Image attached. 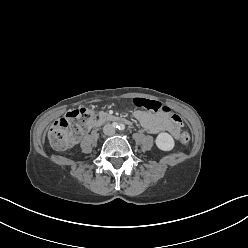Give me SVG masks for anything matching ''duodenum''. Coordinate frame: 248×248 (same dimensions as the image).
I'll use <instances>...</instances> for the list:
<instances>
[{
  "label": "duodenum",
  "instance_id": "obj_1",
  "mask_svg": "<svg viewBox=\"0 0 248 248\" xmlns=\"http://www.w3.org/2000/svg\"><path fill=\"white\" fill-rule=\"evenodd\" d=\"M118 122V123H124V124H130V121L124 117L116 116V115H110V114H104L100 116L94 123V127H99L105 122Z\"/></svg>",
  "mask_w": 248,
  "mask_h": 248
}]
</instances>
